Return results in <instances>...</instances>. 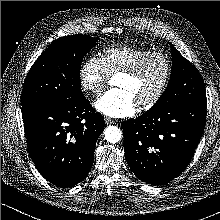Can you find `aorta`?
Instances as JSON below:
<instances>
[{"label":"aorta","instance_id":"762f6f07","mask_svg":"<svg viewBox=\"0 0 220 220\" xmlns=\"http://www.w3.org/2000/svg\"><path fill=\"white\" fill-rule=\"evenodd\" d=\"M104 137L110 143H117L121 140L122 132L116 126H108L104 131Z\"/></svg>","mask_w":220,"mask_h":220}]
</instances>
